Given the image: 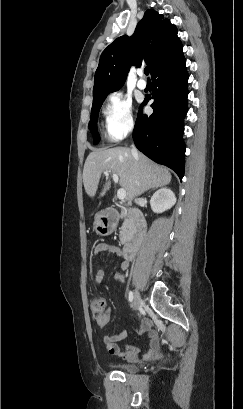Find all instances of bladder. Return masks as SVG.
<instances>
[{
	"instance_id": "bladder-1",
	"label": "bladder",
	"mask_w": 243,
	"mask_h": 409,
	"mask_svg": "<svg viewBox=\"0 0 243 409\" xmlns=\"http://www.w3.org/2000/svg\"><path fill=\"white\" fill-rule=\"evenodd\" d=\"M112 367L117 368L121 372L127 374H134L138 372V366L132 363L121 362L112 365Z\"/></svg>"
}]
</instances>
